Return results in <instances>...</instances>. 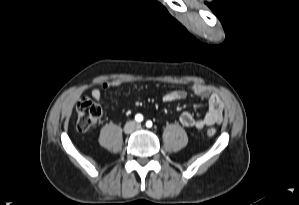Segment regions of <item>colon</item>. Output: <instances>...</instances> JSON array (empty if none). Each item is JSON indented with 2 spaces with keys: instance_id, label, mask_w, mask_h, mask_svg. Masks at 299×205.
I'll return each instance as SVG.
<instances>
[{
  "instance_id": "5ec220e1",
  "label": "colon",
  "mask_w": 299,
  "mask_h": 205,
  "mask_svg": "<svg viewBox=\"0 0 299 205\" xmlns=\"http://www.w3.org/2000/svg\"><path fill=\"white\" fill-rule=\"evenodd\" d=\"M77 129L80 132H86L95 125L101 118V108L88 97H82L77 103ZM216 134L215 128H209L207 135L213 137Z\"/></svg>"
}]
</instances>
